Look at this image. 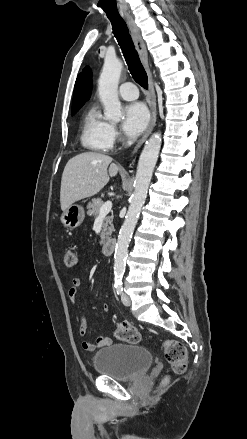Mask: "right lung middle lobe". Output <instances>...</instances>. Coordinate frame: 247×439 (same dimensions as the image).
<instances>
[{
	"label": "right lung middle lobe",
	"mask_w": 247,
	"mask_h": 439,
	"mask_svg": "<svg viewBox=\"0 0 247 439\" xmlns=\"http://www.w3.org/2000/svg\"><path fill=\"white\" fill-rule=\"evenodd\" d=\"M78 110H79V109L73 110V111L71 112V115H74Z\"/></svg>",
	"instance_id": "1"
}]
</instances>
